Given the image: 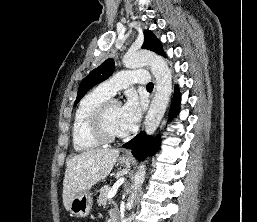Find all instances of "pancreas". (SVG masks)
<instances>
[{
  "instance_id": "obj_1",
  "label": "pancreas",
  "mask_w": 257,
  "mask_h": 222,
  "mask_svg": "<svg viewBox=\"0 0 257 222\" xmlns=\"http://www.w3.org/2000/svg\"><path fill=\"white\" fill-rule=\"evenodd\" d=\"M111 188L109 186H104L100 189V194L97 199V203L99 206H105L107 204V196L108 193L110 192Z\"/></svg>"
}]
</instances>
